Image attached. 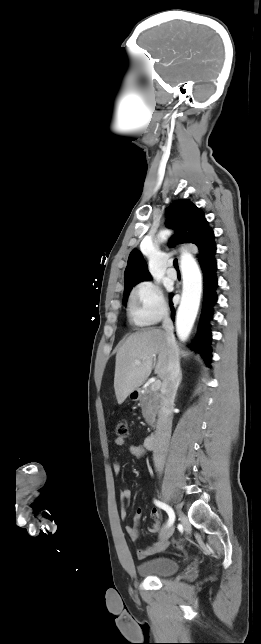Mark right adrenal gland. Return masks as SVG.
Here are the masks:
<instances>
[{
	"label": "right adrenal gland",
	"mask_w": 261,
	"mask_h": 644,
	"mask_svg": "<svg viewBox=\"0 0 261 644\" xmlns=\"http://www.w3.org/2000/svg\"><path fill=\"white\" fill-rule=\"evenodd\" d=\"M181 381H182V373H180L179 385L181 384Z\"/></svg>",
	"instance_id": "1"
}]
</instances>
